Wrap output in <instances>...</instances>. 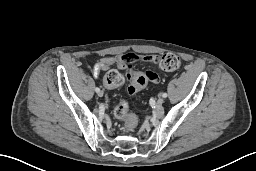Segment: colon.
<instances>
[{
    "label": "colon",
    "instance_id": "1",
    "mask_svg": "<svg viewBox=\"0 0 256 171\" xmlns=\"http://www.w3.org/2000/svg\"><path fill=\"white\" fill-rule=\"evenodd\" d=\"M159 67L165 71L176 70L180 66V58L173 53L161 55L157 60ZM130 81L128 87L129 93H135L147 85V78L142 71H130L126 73L118 70H110L105 81L112 87L123 85L126 80ZM113 115L116 119L123 121L127 129L133 128L137 123V117L129 110V105L126 101H120L113 109Z\"/></svg>",
    "mask_w": 256,
    "mask_h": 171
}]
</instances>
